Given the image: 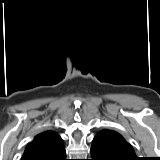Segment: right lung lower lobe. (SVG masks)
Wrapping results in <instances>:
<instances>
[{
    "instance_id": "obj_1",
    "label": "right lung lower lobe",
    "mask_w": 160,
    "mask_h": 160,
    "mask_svg": "<svg viewBox=\"0 0 160 160\" xmlns=\"http://www.w3.org/2000/svg\"><path fill=\"white\" fill-rule=\"evenodd\" d=\"M46 160H67L66 159V151L65 148H63L61 151H59L57 154L47 158Z\"/></svg>"
}]
</instances>
